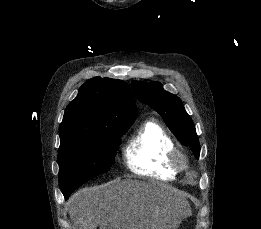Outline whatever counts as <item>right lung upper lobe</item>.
I'll return each instance as SVG.
<instances>
[{"label": "right lung upper lobe", "instance_id": "1", "mask_svg": "<svg viewBox=\"0 0 261 229\" xmlns=\"http://www.w3.org/2000/svg\"><path fill=\"white\" fill-rule=\"evenodd\" d=\"M136 116L137 107L127 83L94 77L80 87L66 107L59 126L60 145L96 136L99 128L133 123Z\"/></svg>", "mask_w": 261, "mask_h": 229}]
</instances>
